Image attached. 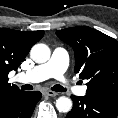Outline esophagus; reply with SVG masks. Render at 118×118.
Returning <instances> with one entry per match:
<instances>
[{"label":"esophagus","mask_w":118,"mask_h":118,"mask_svg":"<svg viewBox=\"0 0 118 118\" xmlns=\"http://www.w3.org/2000/svg\"><path fill=\"white\" fill-rule=\"evenodd\" d=\"M45 95L53 97V96H57L58 93L54 92V91H51V90H47V91H45Z\"/></svg>","instance_id":"obj_1"}]
</instances>
